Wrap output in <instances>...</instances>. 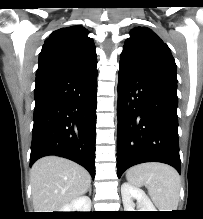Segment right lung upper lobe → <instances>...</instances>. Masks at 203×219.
Returning <instances> with one entry per match:
<instances>
[{"instance_id":"right-lung-upper-lobe-1","label":"right lung upper lobe","mask_w":203,"mask_h":219,"mask_svg":"<svg viewBox=\"0 0 203 219\" xmlns=\"http://www.w3.org/2000/svg\"><path fill=\"white\" fill-rule=\"evenodd\" d=\"M87 35L88 31L80 25L54 31L42 47L36 75L95 65L97 63L95 46Z\"/></svg>"}]
</instances>
